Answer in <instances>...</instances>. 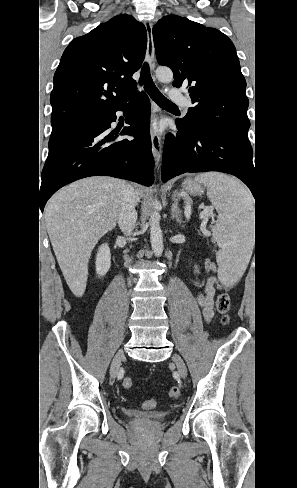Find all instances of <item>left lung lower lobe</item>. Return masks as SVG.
<instances>
[{
  "mask_svg": "<svg viewBox=\"0 0 297 488\" xmlns=\"http://www.w3.org/2000/svg\"><path fill=\"white\" fill-rule=\"evenodd\" d=\"M177 133L166 136L162 181L186 173L219 171L242 180L256 197V166L249 141L227 133L187 127L176 121Z\"/></svg>",
  "mask_w": 297,
  "mask_h": 488,
  "instance_id": "1",
  "label": "left lung lower lobe"
}]
</instances>
